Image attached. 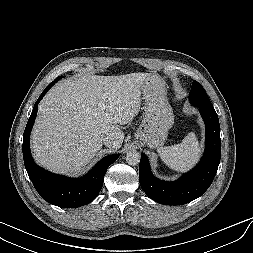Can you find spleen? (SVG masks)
I'll return each instance as SVG.
<instances>
[{"mask_svg":"<svg viewBox=\"0 0 253 253\" xmlns=\"http://www.w3.org/2000/svg\"><path fill=\"white\" fill-rule=\"evenodd\" d=\"M200 145L195 133H189L181 143L158 148L161 160L177 172H186L199 160Z\"/></svg>","mask_w":253,"mask_h":253,"instance_id":"obj_1","label":"spleen"}]
</instances>
